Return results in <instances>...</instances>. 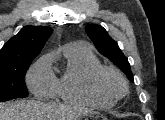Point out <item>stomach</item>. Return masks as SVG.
Masks as SVG:
<instances>
[{"label":"stomach","mask_w":165,"mask_h":120,"mask_svg":"<svg viewBox=\"0 0 165 120\" xmlns=\"http://www.w3.org/2000/svg\"><path fill=\"white\" fill-rule=\"evenodd\" d=\"M82 118H84L85 120H89V119H97V118H103V120H107L106 117H104L101 113L96 112V111H88L85 112L79 120H81Z\"/></svg>","instance_id":"obj_1"}]
</instances>
